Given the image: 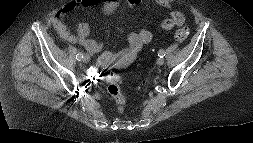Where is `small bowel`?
Masks as SVG:
<instances>
[{"mask_svg":"<svg viewBox=\"0 0 253 143\" xmlns=\"http://www.w3.org/2000/svg\"><path fill=\"white\" fill-rule=\"evenodd\" d=\"M127 4L133 8L139 7L143 0H126ZM156 2L163 8L169 11V17L164 19L160 24V29L167 31L171 30L176 26H182L185 22L184 15L171 7L169 0H156ZM100 5L101 9L105 13L114 11L118 5L119 0H72L69 1L63 8H61L53 17V26L60 36L61 39L69 43H80L84 48L90 53H96L101 48L102 45L92 40L90 35V24L88 22H81L78 24L77 29L73 32L68 26L63 22L64 17L80 8L90 7ZM152 38V33L148 29H141L138 32L129 34L128 43L129 47L118 53L106 52L102 57H112L116 61L129 57H135L137 52L141 50L144 44L150 42Z\"/></svg>","mask_w":253,"mask_h":143,"instance_id":"small-bowel-1","label":"small bowel"}]
</instances>
